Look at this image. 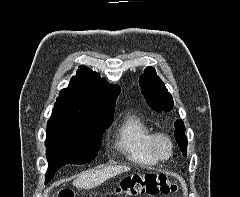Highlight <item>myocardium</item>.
<instances>
[{
  "mask_svg": "<svg viewBox=\"0 0 240 197\" xmlns=\"http://www.w3.org/2000/svg\"><path fill=\"white\" fill-rule=\"evenodd\" d=\"M166 145V153H162L160 150V144ZM149 148L152 155L157 161H168L173 154V142L171 138L163 132H154L149 139Z\"/></svg>",
  "mask_w": 240,
  "mask_h": 197,
  "instance_id": "1",
  "label": "myocardium"
}]
</instances>
